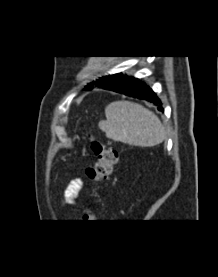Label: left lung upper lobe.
Returning a JSON list of instances; mask_svg holds the SVG:
<instances>
[{
  "label": "left lung upper lobe",
  "instance_id": "obj_1",
  "mask_svg": "<svg viewBox=\"0 0 218 277\" xmlns=\"http://www.w3.org/2000/svg\"><path fill=\"white\" fill-rule=\"evenodd\" d=\"M109 76H110V75H108V76H103V77L97 79L96 81L91 82V83L88 84L85 88H86L87 90H91V89L93 88L94 85H95V86L100 85V84H101L102 82H104Z\"/></svg>",
  "mask_w": 218,
  "mask_h": 277
}]
</instances>
